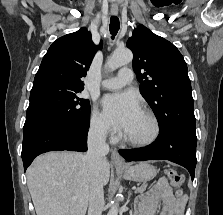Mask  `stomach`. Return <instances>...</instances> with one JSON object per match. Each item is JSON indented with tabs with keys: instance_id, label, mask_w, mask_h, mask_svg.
<instances>
[{
	"instance_id": "stomach-1",
	"label": "stomach",
	"mask_w": 223,
	"mask_h": 215,
	"mask_svg": "<svg viewBox=\"0 0 223 215\" xmlns=\"http://www.w3.org/2000/svg\"><path fill=\"white\" fill-rule=\"evenodd\" d=\"M117 171H119L125 179H131V181H149V179H153L157 173L156 167L151 165L149 161H139L136 165L126 163V167H117Z\"/></svg>"
}]
</instances>
